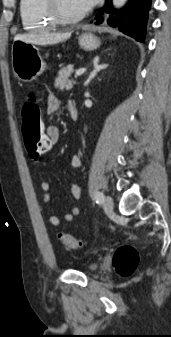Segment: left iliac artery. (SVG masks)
Returning <instances> with one entry per match:
<instances>
[{
    "mask_svg": "<svg viewBox=\"0 0 171 337\" xmlns=\"http://www.w3.org/2000/svg\"><path fill=\"white\" fill-rule=\"evenodd\" d=\"M94 198H95L96 203L98 204H101L104 201V195L102 192H99V191L95 193Z\"/></svg>",
    "mask_w": 171,
    "mask_h": 337,
    "instance_id": "left-iliac-artery-1",
    "label": "left iliac artery"
}]
</instances>
